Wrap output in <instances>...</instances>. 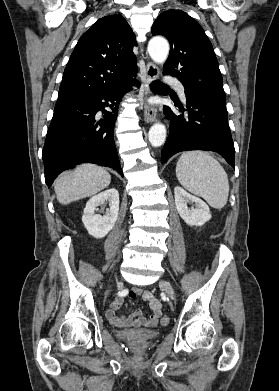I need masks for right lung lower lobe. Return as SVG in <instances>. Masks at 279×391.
I'll return each mask as SVG.
<instances>
[{"label":"right lung lower lobe","instance_id":"1","mask_svg":"<svg viewBox=\"0 0 279 391\" xmlns=\"http://www.w3.org/2000/svg\"><path fill=\"white\" fill-rule=\"evenodd\" d=\"M132 83L133 79L107 93L55 106L42 152L48 187L62 171L82 162L112 167L123 176L113 130L118 104ZM105 106L112 112L103 110Z\"/></svg>","mask_w":279,"mask_h":391}]
</instances>
